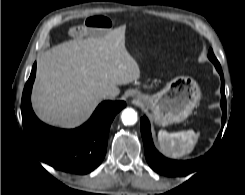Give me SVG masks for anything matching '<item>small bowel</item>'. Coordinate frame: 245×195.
Segmentation results:
<instances>
[{"instance_id": "obj_1", "label": "small bowel", "mask_w": 245, "mask_h": 195, "mask_svg": "<svg viewBox=\"0 0 245 195\" xmlns=\"http://www.w3.org/2000/svg\"><path fill=\"white\" fill-rule=\"evenodd\" d=\"M111 27V21L101 15H92L87 17L82 24L70 28L69 33L72 36H83L88 33H102Z\"/></svg>"}]
</instances>
